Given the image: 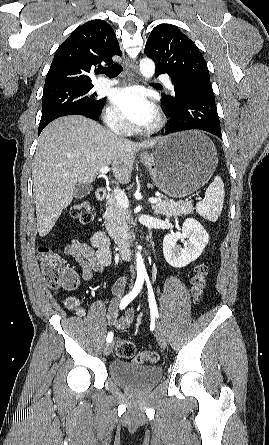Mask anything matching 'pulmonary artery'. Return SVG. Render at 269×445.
I'll return each instance as SVG.
<instances>
[{
	"instance_id": "obj_1",
	"label": "pulmonary artery",
	"mask_w": 269,
	"mask_h": 445,
	"mask_svg": "<svg viewBox=\"0 0 269 445\" xmlns=\"http://www.w3.org/2000/svg\"><path fill=\"white\" fill-rule=\"evenodd\" d=\"M161 79L167 87L172 88V82L168 76H162ZM116 84H117V80H115V79L100 78V79H98L96 86L98 88H107V87H110V86H113Z\"/></svg>"
}]
</instances>
